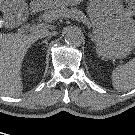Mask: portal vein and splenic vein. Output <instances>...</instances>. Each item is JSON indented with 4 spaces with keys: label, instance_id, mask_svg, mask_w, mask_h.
<instances>
[{
    "label": "portal vein and splenic vein",
    "instance_id": "1",
    "mask_svg": "<svg viewBox=\"0 0 135 135\" xmlns=\"http://www.w3.org/2000/svg\"><path fill=\"white\" fill-rule=\"evenodd\" d=\"M46 28H47V25L42 23V24H38L36 26H33L31 28V31L37 33V32L44 31Z\"/></svg>",
    "mask_w": 135,
    "mask_h": 135
}]
</instances>
